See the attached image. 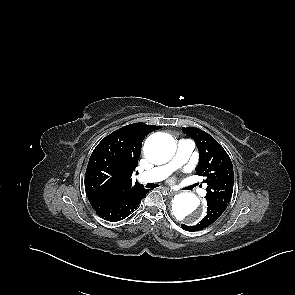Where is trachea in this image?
<instances>
[{
    "mask_svg": "<svg viewBox=\"0 0 295 295\" xmlns=\"http://www.w3.org/2000/svg\"><path fill=\"white\" fill-rule=\"evenodd\" d=\"M146 187H147V188H154V185H153L152 183H148V184L146 185Z\"/></svg>",
    "mask_w": 295,
    "mask_h": 295,
    "instance_id": "3493384b",
    "label": "trachea"
}]
</instances>
